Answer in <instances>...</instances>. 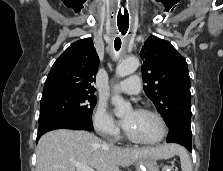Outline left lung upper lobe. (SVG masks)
Segmentation results:
<instances>
[{"mask_svg": "<svg viewBox=\"0 0 223 171\" xmlns=\"http://www.w3.org/2000/svg\"><path fill=\"white\" fill-rule=\"evenodd\" d=\"M144 91L166 125L191 129L190 77L186 60L170 42L149 37L141 49Z\"/></svg>", "mask_w": 223, "mask_h": 171, "instance_id": "1", "label": "left lung upper lobe"}]
</instances>
